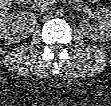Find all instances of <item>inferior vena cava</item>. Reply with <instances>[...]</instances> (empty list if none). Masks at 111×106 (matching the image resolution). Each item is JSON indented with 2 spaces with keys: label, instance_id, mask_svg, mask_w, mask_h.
Masks as SVG:
<instances>
[{
  "label": "inferior vena cava",
  "instance_id": "1",
  "mask_svg": "<svg viewBox=\"0 0 111 106\" xmlns=\"http://www.w3.org/2000/svg\"><path fill=\"white\" fill-rule=\"evenodd\" d=\"M33 8L35 11H38L41 13H45L50 9L47 4V1L45 0H35L33 3Z\"/></svg>",
  "mask_w": 111,
  "mask_h": 106
}]
</instances>
